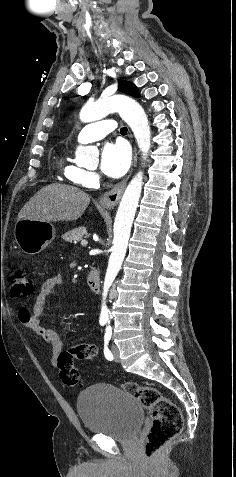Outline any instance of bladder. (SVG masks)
<instances>
[{"label": "bladder", "mask_w": 236, "mask_h": 477, "mask_svg": "<svg viewBox=\"0 0 236 477\" xmlns=\"http://www.w3.org/2000/svg\"><path fill=\"white\" fill-rule=\"evenodd\" d=\"M77 410L91 434L130 440L143 421V405L122 388L106 383L88 387L77 398Z\"/></svg>", "instance_id": "bladder-1"}]
</instances>
